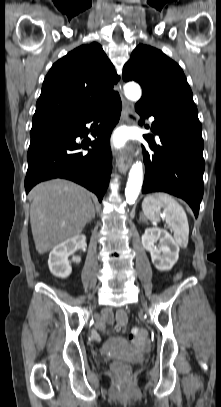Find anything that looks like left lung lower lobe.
<instances>
[{
    "mask_svg": "<svg viewBox=\"0 0 221 407\" xmlns=\"http://www.w3.org/2000/svg\"><path fill=\"white\" fill-rule=\"evenodd\" d=\"M135 108L142 119L154 116L151 129L161 142L156 145L150 136L144 135L152 153L145 152L142 193L162 191L180 197L197 217L204 191L205 168L197 109L182 107L154 112L140 106Z\"/></svg>",
    "mask_w": 221,
    "mask_h": 407,
    "instance_id": "1",
    "label": "left lung lower lobe"
}]
</instances>
